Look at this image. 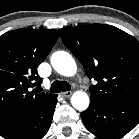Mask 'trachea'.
Masks as SVG:
<instances>
[{"mask_svg": "<svg viewBox=\"0 0 139 139\" xmlns=\"http://www.w3.org/2000/svg\"><path fill=\"white\" fill-rule=\"evenodd\" d=\"M71 86L66 81H54L51 85L50 91L52 93H59L61 91H70Z\"/></svg>", "mask_w": 139, "mask_h": 139, "instance_id": "obj_1", "label": "trachea"}]
</instances>
